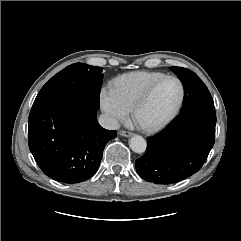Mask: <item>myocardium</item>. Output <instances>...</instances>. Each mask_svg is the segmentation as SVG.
<instances>
[{
	"label": "myocardium",
	"mask_w": 241,
	"mask_h": 241,
	"mask_svg": "<svg viewBox=\"0 0 241 241\" xmlns=\"http://www.w3.org/2000/svg\"><path fill=\"white\" fill-rule=\"evenodd\" d=\"M172 79L175 80L179 86H180V96L178 99V102L176 103L175 107L172 109V111L161 121L150 124V125H142L137 122L136 115L139 109L146 104V102L150 99L151 95L155 91V89L165 80ZM185 98V86L180 78L174 75H164L163 77L157 79L155 82H153L142 94L141 96L135 101L131 108V115L134 120V122L138 125L139 128L146 132H155L163 127H165L167 124H169L178 114L180 111L182 104L184 102Z\"/></svg>",
	"instance_id": "f54148a6"
}]
</instances>
